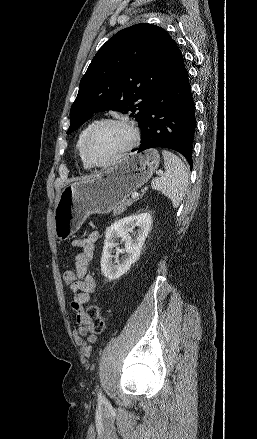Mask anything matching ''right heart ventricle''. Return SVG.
<instances>
[{
  "label": "right heart ventricle",
  "mask_w": 257,
  "mask_h": 439,
  "mask_svg": "<svg viewBox=\"0 0 257 439\" xmlns=\"http://www.w3.org/2000/svg\"><path fill=\"white\" fill-rule=\"evenodd\" d=\"M94 124H95V123H93V122L87 124V125L82 129V131L80 132V134H79V136H78V139H77V145H76V146H77V150H78V153H79L80 159H81V161H82V164H83L84 168H86V169L90 168V165L87 163V161H86V159L84 158V155H83V143H84V139H85L87 133H88L89 130L94 126Z\"/></svg>",
  "instance_id": "1"
}]
</instances>
